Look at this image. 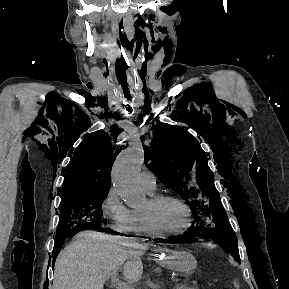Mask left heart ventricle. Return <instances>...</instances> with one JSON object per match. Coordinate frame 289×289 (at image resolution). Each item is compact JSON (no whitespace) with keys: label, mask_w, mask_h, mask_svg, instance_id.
Returning a JSON list of instances; mask_svg holds the SVG:
<instances>
[{"label":"left heart ventricle","mask_w":289,"mask_h":289,"mask_svg":"<svg viewBox=\"0 0 289 289\" xmlns=\"http://www.w3.org/2000/svg\"><path fill=\"white\" fill-rule=\"evenodd\" d=\"M140 211L150 213L155 225L163 231H179L188 221L184 208L174 201H165L152 206L147 199L140 207Z\"/></svg>","instance_id":"left-heart-ventricle-1"}]
</instances>
